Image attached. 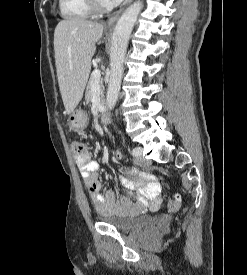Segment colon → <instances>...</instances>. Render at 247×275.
<instances>
[{
    "mask_svg": "<svg viewBox=\"0 0 247 275\" xmlns=\"http://www.w3.org/2000/svg\"><path fill=\"white\" fill-rule=\"evenodd\" d=\"M71 149L73 153L79 158H83L87 155L86 147L82 142L73 141L71 144ZM180 201L181 199L179 194H175L171 198H169L168 200L169 210L173 212L178 211L180 209Z\"/></svg>",
    "mask_w": 247,
    "mask_h": 275,
    "instance_id": "1",
    "label": "colon"
}]
</instances>
